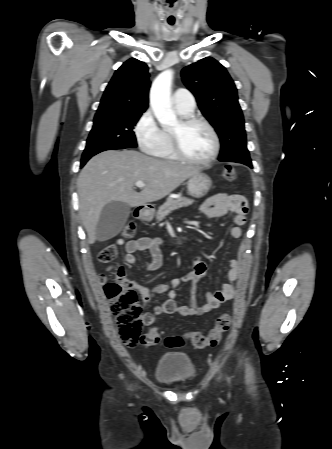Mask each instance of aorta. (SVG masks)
I'll use <instances>...</instances> for the list:
<instances>
[{
	"label": "aorta",
	"mask_w": 332,
	"mask_h": 449,
	"mask_svg": "<svg viewBox=\"0 0 332 449\" xmlns=\"http://www.w3.org/2000/svg\"><path fill=\"white\" fill-rule=\"evenodd\" d=\"M172 79L173 71L165 70L156 77L150 90V106L157 120L165 127H173L178 124L170 100Z\"/></svg>",
	"instance_id": "aorta-1"
}]
</instances>
